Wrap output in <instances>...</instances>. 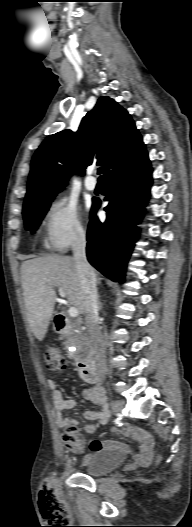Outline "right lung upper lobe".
<instances>
[{"instance_id":"right-lung-upper-lobe-1","label":"right lung upper lobe","mask_w":192,"mask_h":527,"mask_svg":"<svg viewBox=\"0 0 192 527\" xmlns=\"http://www.w3.org/2000/svg\"><path fill=\"white\" fill-rule=\"evenodd\" d=\"M142 143L128 112L107 96L99 98L76 133L50 135L36 150L24 207L54 198L74 171L82 176L88 165H103L106 175Z\"/></svg>"}]
</instances>
